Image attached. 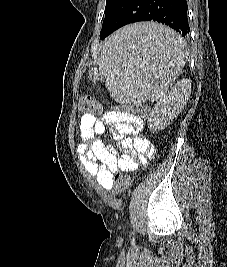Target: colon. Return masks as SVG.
I'll use <instances>...</instances> for the list:
<instances>
[{"instance_id": "obj_1", "label": "colon", "mask_w": 227, "mask_h": 267, "mask_svg": "<svg viewBox=\"0 0 227 267\" xmlns=\"http://www.w3.org/2000/svg\"><path fill=\"white\" fill-rule=\"evenodd\" d=\"M102 101L95 102L89 97H82L79 101L80 108L91 114L101 111ZM117 104H121L122 113H131L132 116H141L142 120H147L151 109L149 104H123V101H112V104H107V109H117ZM112 178L115 182V191L121 193L128 185V178H131L129 169H120L118 173H112Z\"/></svg>"}]
</instances>
